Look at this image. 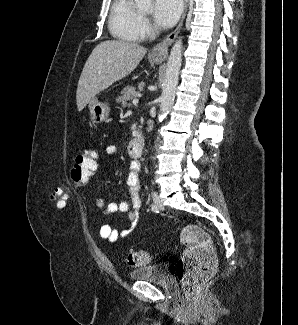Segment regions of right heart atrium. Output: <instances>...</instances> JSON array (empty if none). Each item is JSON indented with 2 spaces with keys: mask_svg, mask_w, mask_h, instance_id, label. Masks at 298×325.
<instances>
[{
  "mask_svg": "<svg viewBox=\"0 0 298 325\" xmlns=\"http://www.w3.org/2000/svg\"><path fill=\"white\" fill-rule=\"evenodd\" d=\"M140 26H141V28L144 29V30H149V29H150L149 22L147 21L146 18L141 19ZM140 39H141L142 41H146V40L148 39V36H147L146 34H142V35L140 36Z\"/></svg>",
  "mask_w": 298,
  "mask_h": 325,
  "instance_id": "d8ad5b80",
  "label": "right heart atrium"
}]
</instances>
